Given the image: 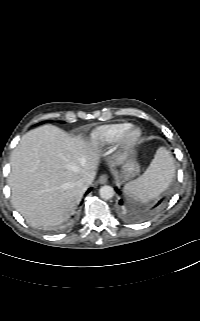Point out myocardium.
I'll use <instances>...</instances> for the list:
<instances>
[{
    "label": "myocardium",
    "instance_id": "myocardium-1",
    "mask_svg": "<svg viewBox=\"0 0 200 321\" xmlns=\"http://www.w3.org/2000/svg\"><path fill=\"white\" fill-rule=\"evenodd\" d=\"M141 135L142 132L138 127L131 126L125 131V133L119 140L121 147L124 149H128L135 146L139 142Z\"/></svg>",
    "mask_w": 200,
    "mask_h": 321
}]
</instances>
